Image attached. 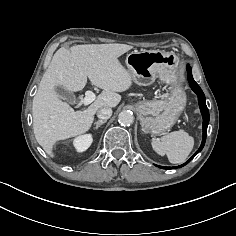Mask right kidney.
<instances>
[{
	"label": "right kidney",
	"mask_w": 236,
	"mask_h": 236,
	"mask_svg": "<svg viewBox=\"0 0 236 236\" xmlns=\"http://www.w3.org/2000/svg\"><path fill=\"white\" fill-rule=\"evenodd\" d=\"M92 141H93L92 136L90 134H86L74 139L73 144L77 152H83L89 148Z\"/></svg>",
	"instance_id": "ca27d5eb"
}]
</instances>
